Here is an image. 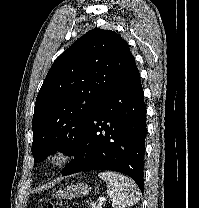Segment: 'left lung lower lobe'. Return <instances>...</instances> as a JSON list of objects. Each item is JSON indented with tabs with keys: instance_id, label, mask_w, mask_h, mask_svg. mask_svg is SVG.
I'll return each mask as SVG.
<instances>
[{
	"instance_id": "left-lung-lower-lobe-1",
	"label": "left lung lower lobe",
	"mask_w": 199,
	"mask_h": 208,
	"mask_svg": "<svg viewBox=\"0 0 199 208\" xmlns=\"http://www.w3.org/2000/svg\"><path fill=\"white\" fill-rule=\"evenodd\" d=\"M146 105L135 62L100 100L62 175L92 169L130 176L143 192Z\"/></svg>"
}]
</instances>
